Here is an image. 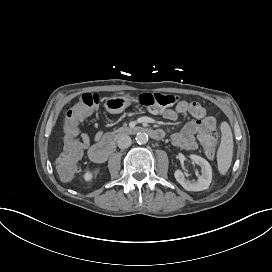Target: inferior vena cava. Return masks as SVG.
<instances>
[{
    "label": "inferior vena cava",
    "mask_w": 272,
    "mask_h": 272,
    "mask_svg": "<svg viewBox=\"0 0 272 272\" xmlns=\"http://www.w3.org/2000/svg\"><path fill=\"white\" fill-rule=\"evenodd\" d=\"M118 147L121 149L128 148L131 145V138L128 135H122L117 141Z\"/></svg>",
    "instance_id": "602c4592"
}]
</instances>
